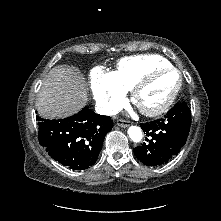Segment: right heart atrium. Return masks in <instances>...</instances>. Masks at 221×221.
I'll list each match as a JSON object with an SVG mask.
<instances>
[{
  "label": "right heart atrium",
  "instance_id": "obj_1",
  "mask_svg": "<svg viewBox=\"0 0 221 221\" xmlns=\"http://www.w3.org/2000/svg\"><path fill=\"white\" fill-rule=\"evenodd\" d=\"M90 84L93 97L104 114H113L123 105L127 91L117 81L113 72L94 69L91 72Z\"/></svg>",
  "mask_w": 221,
  "mask_h": 221
}]
</instances>
